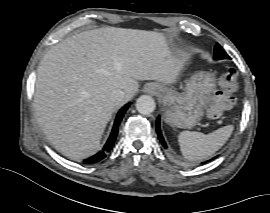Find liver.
<instances>
[{
    "label": "liver",
    "instance_id": "liver-1",
    "mask_svg": "<svg viewBox=\"0 0 270 213\" xmlns=\"http://www.w3.org/2000/svg\"><path fill=\"white\" fill-rule=\"evenodd\" d=\"M186 55L154 31L104 27L54 45L37 70L34 109L50 143L72 159L95 154L113 112L138 91V80L175 83ZM114 89L126 94L110 99Z\"/></svg>",
    "mask_w": 270,
    "mask_h": 213
}]
</instances>
